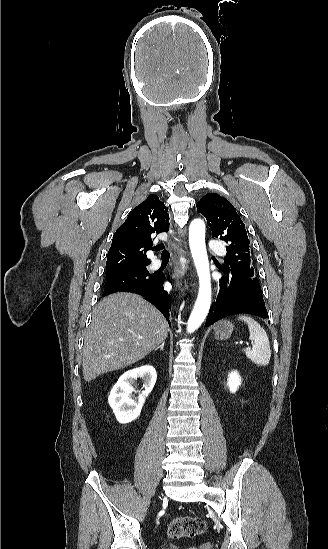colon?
Returning a JSON list of instances; mask_svg holds the SVG:
<instances>
[{"instance_id":"colon-1","label":"colon","mask_w":328,"mask_h":549,"mask_svg":"<svg viewBox=\"0 0 328 549\" xmlns=\"http://www.w3.org/2000/svg\"><path fill=\"white\" fill-rule=\"evenodd\" d=\"M205 522L196 516H182L174 519L168 527V535L172 539L191 538L203 534ZM194 549V547H189Z\"/></svg>"}]
</instances>
